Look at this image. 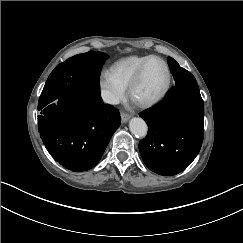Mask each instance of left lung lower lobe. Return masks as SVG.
Returning a JSON list of instances; mask_svg holds the SVG:
<instances>
[{"mask_svg":"<svg viewBox=\"0 0 243 243\" xmlns=\"http://www.w3.org/2000/svg\"><path fill=\"white\" fill-rule=\"evenodd\" d=\"M148 125L139 151L153 172H182L200 151L204 135V102L198 85H176L161 103L139 114Z\"/></svg>","mask_w":243,"mask_h":243,"instance_id":"0a47b994","label":"left lung lower lobe"}]
</instances>
